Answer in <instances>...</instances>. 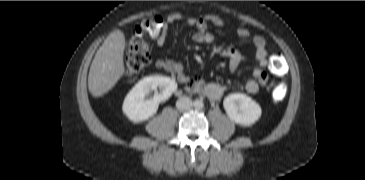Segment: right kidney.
Segmentation results:
<instances>
[{
	"label": "right kidney",
	"mask_w": 365,
	"mask_h": 180,
	"mask_svg": "<svg viewBox=\"0 0 365 180\" xmlns=\"http://www.w3.org/2000/svg\"><path fill=\"white\" fill-rule=\"evenodd\" d=\"M160 89V92H158ZM177 89L175 80L166 76H149L140 80L127 94L122 105L125 116L134 123L148 120ZM152 93L153 96H150ZM150 96L149 99H146Z\"/></svg>",
	"instance_id": "ca27d5eb"
}]
</instances>
